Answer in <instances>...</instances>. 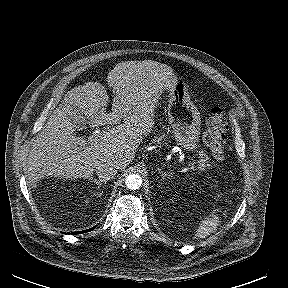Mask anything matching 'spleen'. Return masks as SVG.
<instances>
[{"instance_id":"1","label":"spleen","mask_w":288,"mask_h":288,"mask_svg":"<svg viewBox=\"0 0 288 288\" xmlns=\"http://www.w3.org/2000/svg\"><path fill=\"white\" fill-rule=\"evenodd\" d=\"M219 218L217 215H210L205 217L199 223L196 233L194 235V239H202L210 235L214 229L218 226Z\"/></svg>"}]
</instances>
